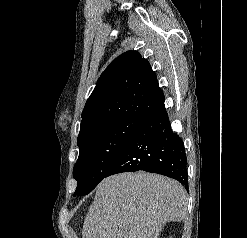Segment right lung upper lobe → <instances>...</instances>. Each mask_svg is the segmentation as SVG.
<instances>
[{
  "instance_id": "right-lung-upper-lobe-1",
  "label": "right lung upper lobe",
  "mask_w": 247,
  "mask_h": 238,
  "mask_svg": "<svg viewBox=\"0 0 247 238\" xmlns=\"http://www.w3.org/2000/svg\"><path fill=\"white\" fill-rule=\"evenodd\" d=\"M164 108V94L149 62L137 51H127L98 79L83 109L78 138L111 121L147 119Z\"/></svg>"
}]
</instances>
